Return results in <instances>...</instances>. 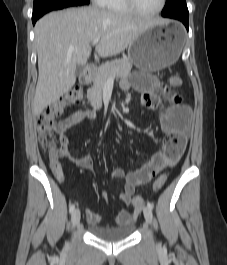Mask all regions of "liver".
I'll return each instance as SVG.
<instances>
[{"label":"liver","mask_w":227,"mask_h":265,"mask_svg":"<svg viewBox=\"0 0 227 265\" xmlns=\"http://www.w3.org/2000/svg\"><path fill=\"white\" fill-rule=\"evenodd\" d=\"M153 23L95 7L52 12L35 25L38 82L32 111L41 114L74 86L76 67L87 62L91 43L99 37L96 52L111 57L124 51Z\"/></svg>","instance_id":"liver-1"}]
</instances>
